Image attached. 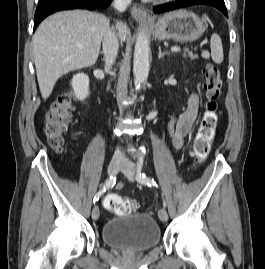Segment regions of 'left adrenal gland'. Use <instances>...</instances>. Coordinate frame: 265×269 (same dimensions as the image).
I'll return each mask as SVG.
<instances>
[{
	"label": "left adrenal gland",
	"instance_id": "left-adrenal-gland-1",
	"mask_svg": "<svg viewBox=\"0 0 265 269\" xmlns=\"http://www.w3.org/2000/svg\"><path fill=\"white\" fill-rule=\"evenodd\" d=\"M168 54H169V52H167V51L162 52L161 47L159 46V54H158L159 59H161L162 57H164L165 55H168Z\"/></svg>",
	"mask_w": 265,
	"mask_h": 269
}]
</instances>
